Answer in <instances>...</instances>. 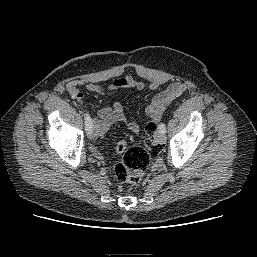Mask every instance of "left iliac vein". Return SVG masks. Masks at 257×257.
Returning a JSON list of instances; mask_svg holds the SVG:
<instances>
[{
	"instance_id": "4c4485c4",
	"label": "left iliac vein",
	"mask_w": 257,
	"mask_h": 257,
	"mask_svg": "<svg viewBox=\"0 0 257 257\" xmlns=\"http://www.w3.org/2000/svg\"><path fill=\"white\" fill-rule=\"evenodd\" d=\"M156 140L160 143V144H164L166 142V136L163 132H161L160 130L158 131V133L155 135Z\"/></svg>"
}]
</instances>
